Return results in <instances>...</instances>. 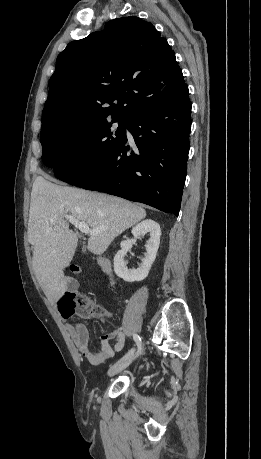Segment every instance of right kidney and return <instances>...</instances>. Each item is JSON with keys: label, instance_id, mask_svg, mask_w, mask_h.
<instances>
[{"label": "right kidney", "instance_id": "1", "mask_svg": "<svg viewBox=\"0 0 261 459\" xmlns=\"http://www.w3.org/2000/svg\"><path fill=\"white\" fill-rule=\"evenodd\" d=\"M131 232L134 238L122 241L120 244L121 250L114 256V271L119 278L126 282L142 281L148 276L157 255L161 236L160 225L150 219L137 224L132 228ZM146 233H149L150 238L146 244L144 258H142V262L137 269H128L125 255L136 242V239Z\"/></svg>", "mask_w": 261, "mask_h": 459}]
</instances>
